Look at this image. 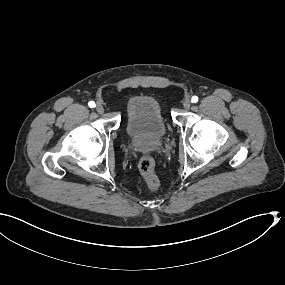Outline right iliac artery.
<instances>
[{
    "label": "right iliac artery",
    "instance_id": "right-iliac-artery-1",
    "mask_svg": "<svg viewBox=\"0 0 285 285\" xmlns=\"http://www.w3.org/2000/svg\"><path fill=\"white\" fill-rule=\"evenodd\" d=\"M88 105L90 108H94L96 106L94 101H90Z\"/></svg>",
    "mask_w": 285,
    "mask_h": 285
}]
</instances>
